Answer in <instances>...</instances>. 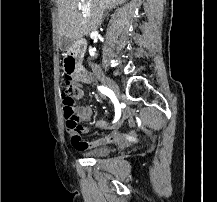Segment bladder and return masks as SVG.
<instances>
[{"instance_id": "1", "label": "bladder", "mask_w": 217, "mask_h": 202, "mask_svg": "<svg viewBox=\"0 0 217 202\" xmlns=\"http://www.w3.org/2000/svg\"><path fill=\"white\" fill-rule=\"evenodd\" d=\"M109 150H110L109 146H100L83 152V155L92 158H101L105 156Z\"/></svg>"}]
</instances>
